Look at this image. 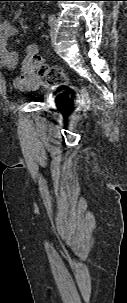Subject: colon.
I'll return each instance as SVG.
<instances>
[{"instance_id":"colon-1","label":"colon","mask_w":127,"mask_h":303,"mask_svg":"<svg viewBox=\"0 0 127 303\" xmlns=\"http://www.w3.org/2000/svg\"><path fill=\"white\" fill-rule=\"evenodd\" d=\"M30 63L38 75L44 78L48 86L65 87L67 85L68 80L63 71L59 68L48 66L44 58L36 52L31 53ZM83 94L86 96L85 92Z\"/></svg>"}]
</instances>
